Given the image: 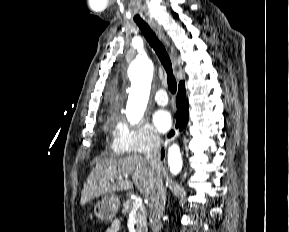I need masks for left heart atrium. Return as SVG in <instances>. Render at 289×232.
Instances as JSON below:
<instances>
[{"label":"left heart atrium","mask_w":289,"mask_h":232,"mask_svg":"<svg viewBox=\"0 0 289 232\" xmlns=\"http://www.w3.org/2000/svg\"><path fill=\"white\" fill-rule=\"evenodd\" d=\"M153 123L159 132L165 133L172 126V116L167 110H157L153 115Z\"/></svg>","instance_id":"1"}]
</instances>
